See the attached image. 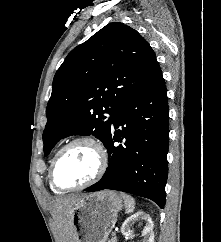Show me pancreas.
I'll list each match as a JSON object with an SVG mask.
<instances>
[{
	"label": "pancreas",
	"mask_w": 221,
	"mask_h": 242,
	"mask_svg": "<svg viewBox=\"0 0 221 242\" xmlns=\"http://www.w3.org/2000/svg\"><path fill=\"white\" fill-rule=\"evenodd\" d=\"M108 242H117V238L116 237H112Z\"/></svg>",
	"instance_id": "pancreas-1"
}]
</instances>
